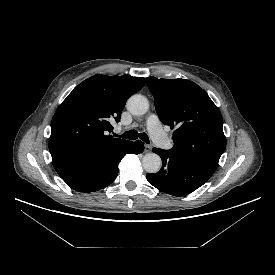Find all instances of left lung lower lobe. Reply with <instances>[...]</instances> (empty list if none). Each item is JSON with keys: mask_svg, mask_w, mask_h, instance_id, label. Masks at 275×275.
Here are the masks:
<instances>
[{"mask_svg": "<svg viewBox=\"0 0 275 275\" xmlns=\"http://www.w3.org/2000/svg\"><path fill=\"white\" fill-rule=\"evenodd\" d=\"M153 152L161 157L162 167L155 174H147V180L162 192L184 196L195 191L211 177L170 150L153 148Z\"/></svg>", "mask_w": 275, "mask_h": 275, "instance_id": "left-lung-lower-lobe-1", "label": "left lung lower lobe"}]
</instances>
